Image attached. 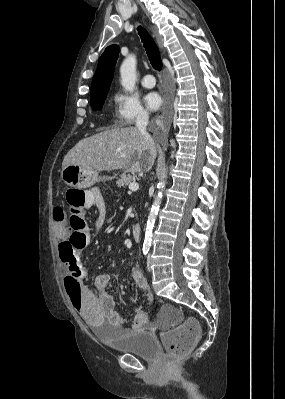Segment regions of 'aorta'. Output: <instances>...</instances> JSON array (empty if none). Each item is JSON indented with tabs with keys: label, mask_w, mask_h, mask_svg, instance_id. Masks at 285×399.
Listing matches in <instances>:
<instances>
[{
	"label": "aorta",
	"mask_w": 285,
	"mask_h": 399,
	"mask_svg": "<svg viewBox=\"0 0 285 399\" xmlns=\"http://www.w3.org/2000/svg\"><path fill=\"white\" fill-rule=\"evenodd\" d=\"M120 75H121L120 82L123 88L127 91H133L136 82V57L134 55L128 56L123 61L120 67ZM166 178L167 174L165 171L163 173V180H161V182L158 185L159 186L158 193L155 197V200L151 206L148 215L146 228H145V238L143 243L144 248H149L151 246L153 228L155 225L156 217L159 212L161 200L163 198V191L166 185L165 181Z\"/></svg>",
	"instance_id": "aorta-1"
}]
</instances>
